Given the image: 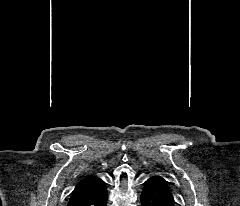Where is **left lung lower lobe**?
Returning <instances> with one entry per match:
<instances>
[{"mask_svg":"<svg viewBox=\"0 0 240 206\" xmlns=\"http://www.w3.org/2000/svg\"><path fill=\"white\" fill-rule=\"evenodd\" d=\"M142 206H175L176 202L170 183L159 175L150 177L141 193Z\"/></svg>","mask_w":240,"mask_h":206,"instance_id":"1","label":"left lung lower lobe"}]
</instances>
